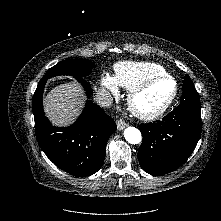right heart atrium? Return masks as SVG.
Instances as JSON below:
<instances>
[{
    "instance_id": "obj_1",
    "label": "right heart atrium",
    "mask_w": 221,
    "mask_h": 221,
    "mask_svg": "<svg viewBox=\"0 0 221 221\" xmlns=\"http://www.w3.org/2000/svg\"><path fill=\"white\" fill-rule=\"evenodd\" d=\"M101 85L103 88L107 89L113 94L118 93V85L116 84L114 78L108 74H104L101 78Z\"/></svg>"
}]
</instances>
